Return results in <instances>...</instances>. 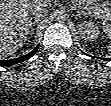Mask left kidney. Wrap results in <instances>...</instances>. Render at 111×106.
<instances>
[{
  "instance_id": "1",
  "label": "left kidney",
  "mask_w": 111,
  "mask_h": 106,
  "mask_svg": "<svg viewBox=\"0 0 111 106\" xmlns=\"http://www.w3.org/2000/svg\"><path fill=\"white\" fill-rule=\"evenodd\" d=\"M80 34L83 39L93 41L95 40L100 31L96 24L91 21H83L79 24Z\"/></svg>"
}]
</instances>
